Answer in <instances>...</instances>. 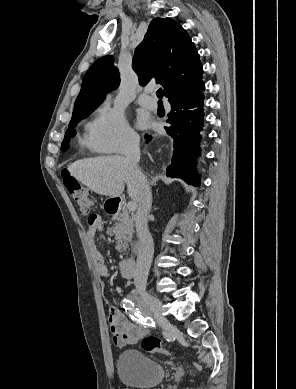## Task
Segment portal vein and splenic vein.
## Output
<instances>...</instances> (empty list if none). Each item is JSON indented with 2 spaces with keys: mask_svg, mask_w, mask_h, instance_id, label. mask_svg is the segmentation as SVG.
<instances>
[{
  "mask_svg": "<svg viewBox=\"0 0 296 389\" xmlns=\"http://www.w3.org/2000/svg\"><path fill=\"white\" fill-rule=\"evenodd\" d=\"M136 208H137L136 202L130 201V202L127 203V209H128L129 211H135Z\"/></svg>",
  "mask_w": 296,
  "mask_h": 389,
  "instance_id": "portal-vein-and-splenic-vein-1",
  "label": "portal vein and splenic vein"
}]
</instances>
